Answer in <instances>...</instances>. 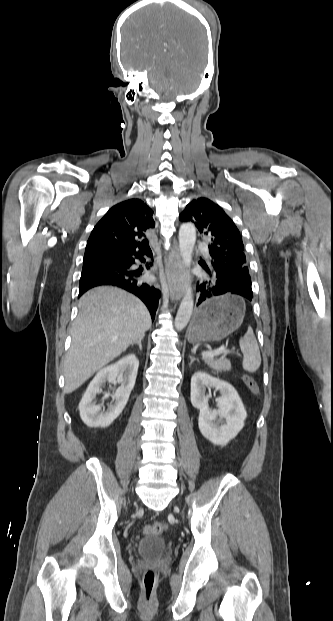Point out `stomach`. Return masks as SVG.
<instances>
[{
  "instance_id": "1",
  "label": "stomach",
  "mask_w": 333,
  "mask_h": 621,
  "mask_svg": "<svg viewBox=\"0 0 333 621\" xmlns=\"http://www.w3.org/2000/svg\"><path fill=\"white\" fill-rule=\"evenodd\" d=\"M245 305L237 296L207 300L197 311L188 330L191 343L215 342L237 330L243 322Z\"/></svg>"
}]
</instances>
